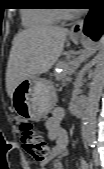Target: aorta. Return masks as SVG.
<instances>
[{
    "instance_id": "aorta-1",
    "label": "aorta",
    "mask_w": 104,
    "mask_h": 169,
    "mask_svg": "<svg viewBox=\"0 0 104 169\" xmlns=\"http://www.w3.org/2000/svg\"><path fill=\"white\" fill-rule=\"evenodd\" d=\"M102 40L99 41L101 49ZM104 89V70L102 67H97L91 82L88 98L85 107L84 116V133L87 140H95L97 112L99 101Z\"/></svg>"
}]
</instances>
